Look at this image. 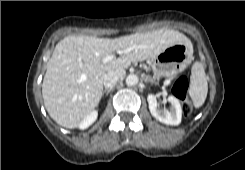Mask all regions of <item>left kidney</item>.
Returning <instances> with one entry per match:
<instances>
[{
	"label": "left kidney",
	"mask_w": 245,
	"mask_h": 170,
	"mask_svg": "<svg viewBox=\"0 0 245 170\" xmlns=\"http://www.w3.org/2000/svg\"><path fill=\"white\" fill-rule=\"evenodd\" d=\"M149 110L151 115L161 123L167 125H179L181 123L182 118V108L180 102L174 96H169L168 101L171 103L170 110H160L157 108L158 103L156 100V96L153 94H149L147 97Z\"/></svg>",
	"instance_id": "1"
}]
</instances>
